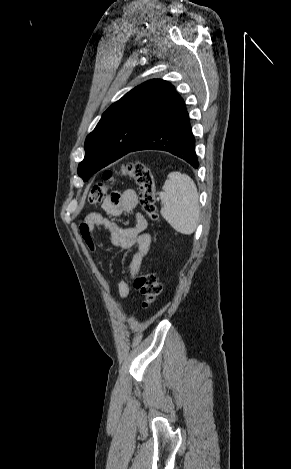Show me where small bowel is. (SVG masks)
I'll return each mask as SVG.
<instances>
[{
	"instance_id": "obj_1",
	"label": "small bowel",
	"mask_w": 291,
	"mask_h": 469,
	"mask_svg": "<svg viewBox=\"0 0 291 469\" xmlns=\"http://www.w3.org/2000/svg\"><path fill=\"white\" fill-rule=\"evenodd\" d=\"M138 205V197L134 190L126 189L113 193L102 203V210L108 215L90 213L81 225L82 236L88 247L93 250V239L96 238V228L103 227L108 231L112 244L123 250L136 247V252L131 262L130 280H121L118 284V295L127 297L132 290V281L138 272L142 260L148 255L151 245V237L145 233L147 221L142 214L135 210ZM134 214L135 223L131 227H123L118 219L124 215Z\"/></svg>"
}]
</instances>
